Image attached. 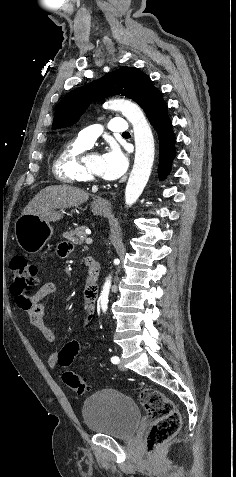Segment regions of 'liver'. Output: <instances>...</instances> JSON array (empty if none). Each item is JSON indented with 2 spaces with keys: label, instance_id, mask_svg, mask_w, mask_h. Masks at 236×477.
Masks as SVG:
<instances>
[{
  "label": "liver",
  "instance_id": "6515ba94",
  "mask_svg": "<svg viewBox=\"0 0 236 477\" xmlns=\"http://www.w3.org/2000/svg\"><path fill=\"white\" fill-rule=\"evenodd\" d=\"M89 199V193L67 185L48 186L41 190L24 208L22 214L46 215L55 209L79 206Z\"/></svg>",
  "mask_w": 236,
  "mask_h": 477
}]
</instances>
